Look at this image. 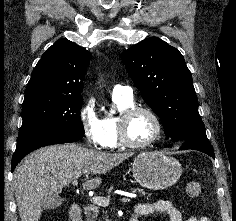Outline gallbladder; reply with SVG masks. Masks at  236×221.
<instances>
[{
    "label": "gallbladder",
    "instance_id": "1",
    "mask_svg": "<svg viewBox=\"0 0 236 221\" xmlns=\"http://www.w3.org/2000/svg\"><path fill=\"white\" fill-rule=\"evenodd\" d=\"M63 199L56 195H49L42 201L44 210H51L61 205Z\"/></svg>",
    "mask_w": 236,
    "mask_h": 221
}]
</instances>
